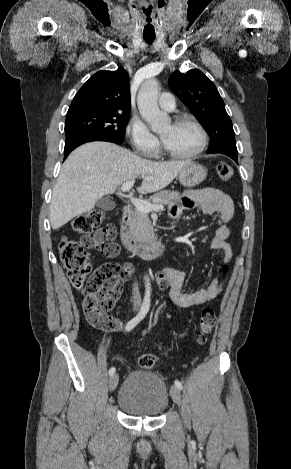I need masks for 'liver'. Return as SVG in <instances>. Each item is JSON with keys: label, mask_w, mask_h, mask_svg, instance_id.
I'll use <instances>...</instances> for the list:
<instances>
[{"label": "liver", "mask_w": 291, "mask_h": 469, "mask_svg": "<svg viewBox=\"0 0 291 469\" xmlns=\"http://www.w3.org/2000/svg\"><path fill=\"white\" fill-rule=\"evenodd\" d=\"M191 162H156L108 142H91L74 150L64 162L50 203V222L56 230L74 217L91 211L106 194L142 177L139 193L167 187Z\"/></svg>", "instance_id": "1"}]
</instances>
